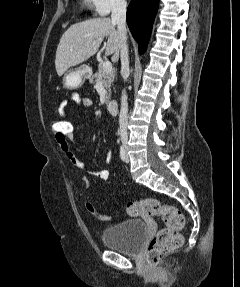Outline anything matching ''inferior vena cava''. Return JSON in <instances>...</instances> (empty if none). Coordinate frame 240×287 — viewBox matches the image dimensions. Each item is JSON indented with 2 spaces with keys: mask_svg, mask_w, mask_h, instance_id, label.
I'll use <instances>...</instances> for the list:
<instances>
[{
  "mask_svg": "<svg viewBox=\"0 0 240 287\" xmlns=\"http://www.w3.org/2000/svg\"><path fill=\"white\" fill-rule=\"evenodd\" d=\"M126 0H113L112 3V22L117 25L119 38L121 41V75L126 79L129 76V57L127 46V29H126ZM128 103L125 91L122 92L121 109L119 114V131L121 142L126 145L128 142Z\"/></svg>",
  "mask_w": 240,
  "mask_h": 287,
  "instance_id": "inferior-vena-cava-1",
  "label": "inferior vena cava"
}]
</instances>
